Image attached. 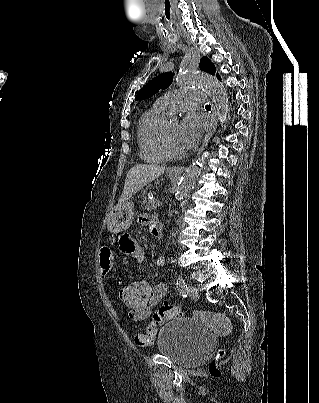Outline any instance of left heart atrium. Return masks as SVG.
<instances>
[{
    "mask_svg": "<svg viewBox=\"0 0 319 403\" xmlns=\"http://www.w3.org/2000/svg\"><path fill=\"white\" fill-rule=\"evenodd\" d=\"M202 133V122L194 114H188L179 125L178 139L183 149H192L197 145Z\"/></svg>",
    "mask_w": 319,
    "mask_h": 403,
    "instance_id": "39dd6f15",
    "label": "left heart atrium"
}]
</instances>
